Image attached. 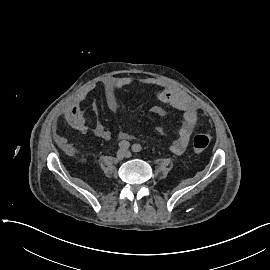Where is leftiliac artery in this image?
<instances>
[{
	"label": "left iliac artery",
	"mask_w": 270,
	"mask_h": 270,
	"mask_svg": "<svg viewBox=\"0 0 270 270\" xmlns=\"http://www.w3.org/2000/svg\"><path fill=\"white\" fill-rule=\"evenodd\" d=\"M141 146L139 145V144H134L133 146H132V151H134V152H140L141 151Z\"/></svg>",
	"instance_id": "left-iliac-artery-1"
}]
</instances>
